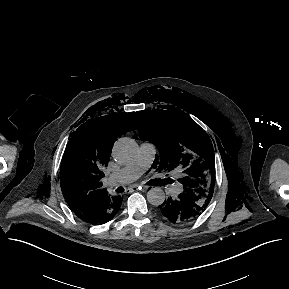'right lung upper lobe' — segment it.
I'll list each match as a JSON object with an SVG mask.
<instances>
[{
    "label": "right lung upper lobe",
    "mask_w": 289,
    "mask_h": 289,
    "mask_svg": "<svg viewBox=\"0 0 289 289\" xmlns=\"http://www.w3.org/2000/svg\"><path fill=\"white\" fill-rule=\"evenodd\" d=\"M129 115L111 113L90 119L68 142L61 164L60 183L65 200L79 218L92 213L102 198L110 196L102 188V169L109 162L116 138L134 130Z\"/></svg>",
    "instance_id": "obj_1"
}]
</instances>
